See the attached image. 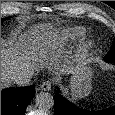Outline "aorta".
I'll use <instances>...</instances> for the list:
<instances>
[{
    "instance_id": "obj_1",
    "label": "aorta",
    "mask_w": 115,
    "mask_h": 115,
    "mask_svg": "<svg viewBox=\"0 0 115 115\" xmlns=\"http://www.w3.org/2000/svg\"><path fill=\"white\" fill-rule=\"evenodd\" d=\"M36 106L40 109L47 110L53 107V96L48 92H40L35 98Z\"/></svg>"
}]
</instances>
